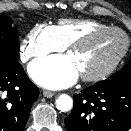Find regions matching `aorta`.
I'll return each mask as SVG.
<instances>
[{
  "mask_svg": "<svg viewBox=\"0 0 131 131\" xmlns=\"http://www.w3.org/2000/svg\"><path fill=\"white\" fill-rule=\"evenodd\" d=\"M73 106L72 98L67 94L60 95L56 100V107L62 112H67L71 110Z\"/></svg>",
  "mask_w": 131,
  "mask_h": 131,
  "instance_id": "obj_1",
  "label": "aorta"
}]
</instances>
